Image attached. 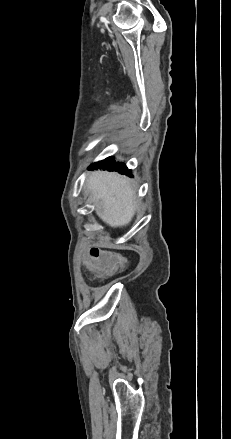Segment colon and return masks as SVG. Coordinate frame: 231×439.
Wrapping results in <instances>:
<instances>
[{
	"mask_svg": "<svg viewBox=\"0 0 231 439\" xmlns=\"http://www.w3.org/2000/svg\"><path fill=\"white\" fill-rule=\"evenodd\" d=\"M87 259H82V268H89L98 275H108L120 270L124 266V260L109 253L98 250L92 245L84 251Z\"/></svg>",
	"mask_w": 231,
	"mask_h": 439,
	"instance_id": "1",
	"label": "colon"
}]
</instances>
